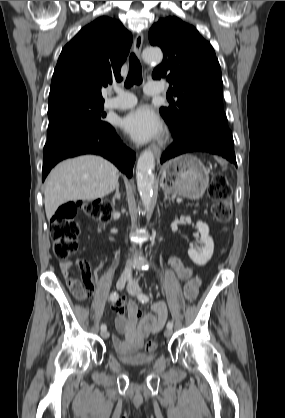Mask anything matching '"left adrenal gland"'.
Returning <instances> with one entry per match:
<instances>
[{
	"label": "left adrenal gland",
	"mask_w": 285,
	"mask_h": 418,
	"mask_svg": "<svg viewBox=\"0 0 285 418\" xmlns=\"http://www.w3.org/2000/svg\"><path fill=\"white\" fill-rule=\"evenodd\" d=\"M166 200H169V201H172V202H174V198H171L166 192L164 193V202L166 201Z\"/></svg>",
	"instance_id": "1"
}]
</instances>
